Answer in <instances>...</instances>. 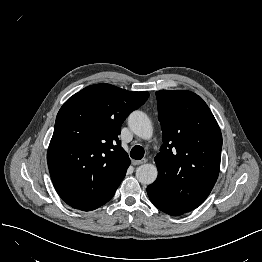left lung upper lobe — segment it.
<instances>
[{"label": "left lung upper lobe", "instance_id": "obj_1", "mask_svg": "<svg viewBox=\"0 0 262 262\" xmlns=\"http://www.w3.org/2000/svg\"><path fill=\"white\" fill-rule=\"evenodd\" d=\"M163 144L155 157L157 180L148 186L169 207L200 206L218 178L222 135L204 100L187 90L156 92Z\"/></svg>", "mask_w": 262, "mask_h": 262}]
</instances>
